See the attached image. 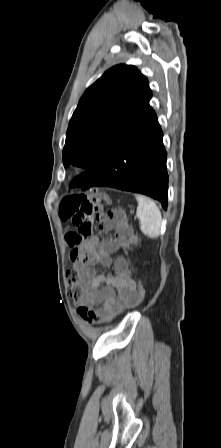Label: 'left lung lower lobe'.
I'll return each instance as SVG.
<instances>
[{
	"label": "left lung lower lobe",
	"mask_w": 221,
	"mask_h": 448,
	"mask_svg": "<svg viewBox=\"0 0 221 448\" xmlns=\"http://www.w3.org/2000/svg\"><path fill=\"white\" fill-rule=\"evenodd\" d=\"M163 132L155 112L111 153L98 168L90 169L72 182L71 186L113 187L142 193L161 202L167 209L168 174Z\"/></svg>",
	"instance_id": "left-lung-lower-lobe-1"
}]
</instances>
